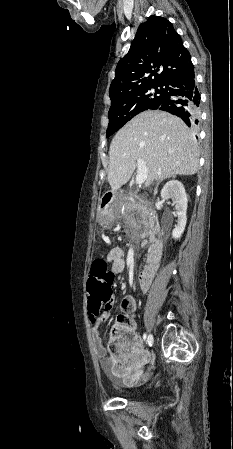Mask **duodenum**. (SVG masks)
<instances>
[{
    "mask_svg": "<svg viewBox=\"0 0 233 449\" xmlns=\"http://www.w3.org/2000/svg\"><path fill=\"white\" fill-rule=\"evenodd\" d=\"M117 193L115 191H108L106 197L102 199L100 208L102 210H108L110 206L115 204ZM151 245L146 255V264L143 272H153L156 274L160 261L163 255V240L160 227L153 226L150 231Z\"/></svg>",
    "mask_w": 233,
    "mask_h": 449,
    "instance_id": "duodenum-1",
    "label": "duodenum"
}]
</instances>
